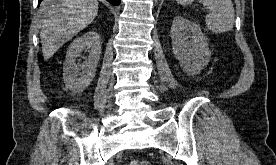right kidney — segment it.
Wrapping results in <instances>:
<instances>
[{
  "mask_svg": "<svg viewBox=\"0 0 276 165\" xmlns=\"http://www.w3.org/2000/svg\"><path fill=\"white\" fill-rule=\"evenodd\" d=\"M84 50L88 53V57L80 64L77 62V57ZM100 54V36L95 31H89L73 40L67 50L63 66V79L67 89L76 93L90 85L95 76Z\"/></svg>",
  "mask_w": 276,
  "mask_h": 165,
  "instance_id": "ca27d5eb",
  "label": "right kidney"
}]
</instances>
